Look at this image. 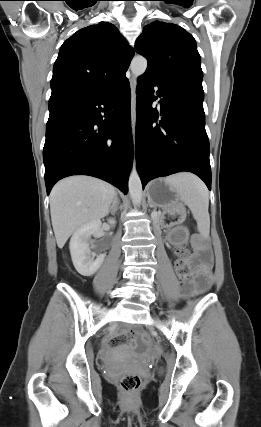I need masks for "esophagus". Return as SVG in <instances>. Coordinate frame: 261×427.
Wrapping results in <instances>:
<instances>
[{
  "mask_svg": "<svg viewBox=\"0 0 261 427\" xmlns=\"http://www.w3.org/2000/svg\"><path fill=\"white\" fill-rule=\"evenodd\" d=\"M130 85H131V92H132L131 122H132V131H133V135H134V132H135V120H136V111H135V89H136V82H135V79L133 77L130 79Z\"/></svg>",
  "mask_w": 261,
  "mask_h": 427,
  "instance_id": "34e87169",
  "label": "esophagus"
}]
</instances>
